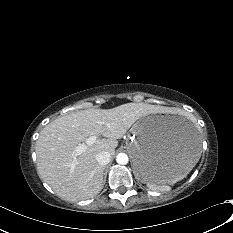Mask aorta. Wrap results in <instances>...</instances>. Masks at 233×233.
I'll return each mask as SVG.
<instances>
[{
  "mask_svg": "<svg viewBox=\"0 0 233 233\" xmlns=\"http://www.w3.org/2000/svg\"><path fill=\"white\" fill-rule=\"evenodd\" d=\"M129 161V158L127 156V154L125 153H119L117 156H116V162L118 164H121V165H126Z\"/></svg>",
  "mask_w": 233,
  "mask_h": 233,
  "instance_id": "762f6f07",
  "label": "aorta"
}]
</instances>
